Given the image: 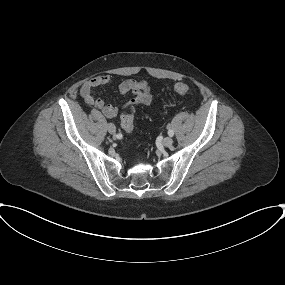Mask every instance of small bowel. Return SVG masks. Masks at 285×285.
I'll return each instance as SVG.
<instances>
[{"label":"small bowel","mask_w":285,"mask_h":285,"mask_svg":"<svg viewBox=\"0 0 285 285\" xmlns=\"http://www.w3.org/2000/svg\"><path fill=\"white\" fill-rule=\"evenodd\" d=\"M112 85H115V83L110 76H95L81 86L80 95L87 105L94 106L107 118H115L119 113V108L107 104L103 99L95 97L94 95L96 88ZM116 88L120 94H133V98L123 106L124 109L136 105H149L152 101L151 87L146 80L127 79L117 83Z\"/></svg>","instance_id":"obj_1"}]
</instances>
